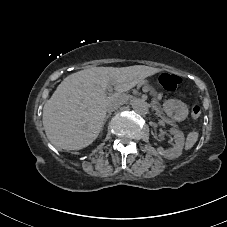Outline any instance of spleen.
Instances as JSON below:
<instances>
[{
	"label": "spleen",
	"instance_id": "spleen-1",
	"mask_svg": "<svg viewBox=\"0 0 227 227\" xmlns=\"http://www.w3.org/2000/svg\"><path fill=\"white\" fill-rule=\"evenodd\" d=\"M198 132H190L188 135H187V138H186V142H185V149L186 150H189L191 149L194 144L197 142L198 140Z\"/></svg>",
	"mask_w": 227,
	"mask_h": 227
}]
</instances>
